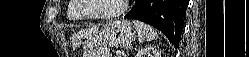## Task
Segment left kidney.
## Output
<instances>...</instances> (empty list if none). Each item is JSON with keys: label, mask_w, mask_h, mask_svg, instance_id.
<instances>
[{"label": "left kidney", "mask_w": 249, "mask_h": 57, "mask_svg": "<svg viewBox=\"0 0 249 57\" xmlns=\"http://www.w3.org/2000/svg\"><path fill=\"white\" fill-rule=\"evenodd\" d=\"M135 57H161V53L154 47H145L139 50Z\"/></svg>", "instance_id": "left-kidney-1"}]
</instances>
